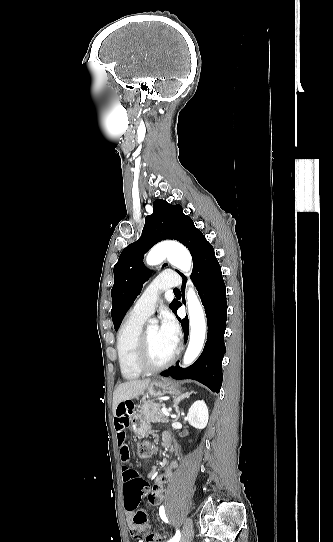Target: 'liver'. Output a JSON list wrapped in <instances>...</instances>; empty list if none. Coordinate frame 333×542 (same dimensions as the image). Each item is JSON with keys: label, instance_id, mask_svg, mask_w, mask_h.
Wrapping results in <instances>:
<instances>
[{"label": "liver", "instance_id": "liver-1", "mask_svg": "<svg viewBox=\"0 0 333 542\" xmlns=\"http://www.w3.org/2000/svg\"><path fill=\"white\" fill-rule=\"evenodd\" d=\"M149 384H151L150 378L148 380H129V382H124V384H119L118 388L113 392L112 412L114 416L120 402L139 398L141 394H144Z\"/></svg>", "mask_w": 333, "mask_h": 542}]
</instances>
